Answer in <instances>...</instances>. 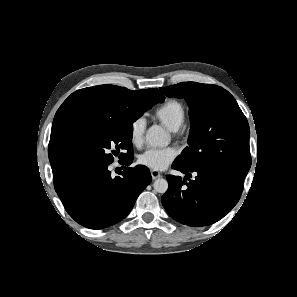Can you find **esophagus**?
I'll list each match as a JSON object with an SVG mask.
<instances>
[{
  "instance_id": "34e87169",
  "label": "esophagus",
  "mask_w": 297,
  "mask_h": 297,
  "mask_svg": "<svg viewBox=\"0 0 297 297\" xmlns=\"http://www.w3.org/2000/svg\"><path fill=\"white\" fill-rule=\"evenodd\" d=\"M151 176H152V179L155 180L157 178H160L161 177V174L158 171L151 170Z\"/></svg>"
}]
</instances>
